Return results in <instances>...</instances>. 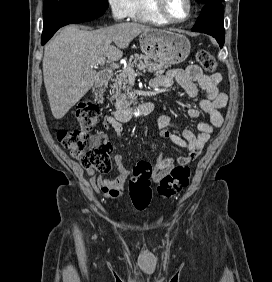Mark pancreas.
I'll return each mask as SVG.
<instances>
[{
	"instance_id": "1",
	"label": "pancreas",
	"mask_w": 272,
	"mask_h": 282,
	"mask_svg": "<svg viewBox=\"0 0 272 282\" xmlns=\"http://www.w3.org/2000/svg\"><path fill=\"white\" fill-rule=\"evenodd\" d=\"M136 67L143 72H150L153 73L155 76L162 75L165 70L168 68L163 64H158L155 62H151L149 58L145 55L135 54L131 56L129 62L126 66V69L120 71L114 78V83L112 88L115 89V95L110 98L111 101L115 100V106L127 105L129 104V99L133 97L132 93L130 92V87L127 85L128 83V72L127 68H134ZM121 90L124 92L121 93Z\"/></svg>"
}]
</instances>
